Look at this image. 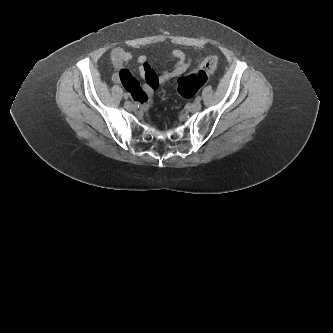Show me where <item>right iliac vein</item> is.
<instances>
[{
  "label": "right iliac vein",
  "mask_w": 333,
  "mask_h": 333,
  "mask_svg": "<svg viewBox=\"0 0 333 333\" xmlns=\"http://www.w3.org/2000/svg\"><path fill=\"white\" fill-rule=\"evenodd\" d=\"M125 108L127 110H133L135 107H134V105L130 101H126L125 102Z\"/></svg>",
  "instance_id": "63e3f726"
}]
</instances>
